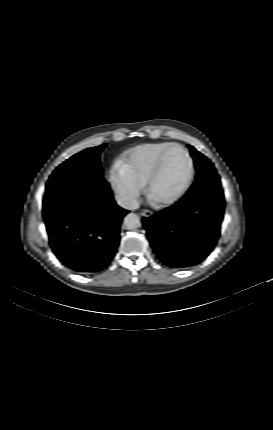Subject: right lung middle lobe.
<instances>
[{
  "label": "right lung middle lobe",
  "instance_id": "dd1d6c3e",
  "mask_svg": "<svg viewBox=\"0 0 273 430\" xmlns=\"http://www.w3.org/2000/svg\"><path fill=\"white\" fill-rule=\"evenodd\" d=\"M106 144L88 148L63 162L52 173L46 185L43 204H48L72 192L104 186L99 155Z\"/></svg>",
  "mask_w": 273,
  "mask_h": 430
}]
</instances>
